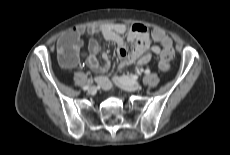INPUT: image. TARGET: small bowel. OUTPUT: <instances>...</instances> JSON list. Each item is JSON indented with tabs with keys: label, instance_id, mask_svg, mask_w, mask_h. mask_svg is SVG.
<instances>
[{
	"label": "small bowel",
	"instance_id": "1",
	"mask_svg": "<svg viewBox=\"0 0 230 155\" xmlns=\"http://www.w3.org/2000/svg\"><path fill=\"white\" fill-rule=\"evenodd\" d=\"M156 30L163 31L161 29H154L150 34L148 28L143 24H134L128 31L127 38L125 39L123 34L126 32V27L123 24H117L114 26L91 25L88 27H77L62 36L59 39V44L68 40L70 37H75L77 39L75 49L79 50L81 46L80 37L83 34L87 33L94 35L100 33L106 41L116 44L117 53L120 58L119 68L122 69L132 63H138L140 65L147 64L153 55H160L163 50L168 47L173 48V42L167 34L163 39H157L154 37L153 33ZM151 37L156 42L160 43L162 47L151 45ZM126 41L133 43L131 50H128ZM99 49L100 46L98 41L95 38H91L88 42V57L86 63L89 68L94 71L106 72L110 68L111 63L107 55L103 56V62H100L97 59ZM97 82L103 89H109L111 87V82L106 77H99Z\"/></svg>",
	"mask_w": 230,
	"mask_h": 155
}]
</instances>
